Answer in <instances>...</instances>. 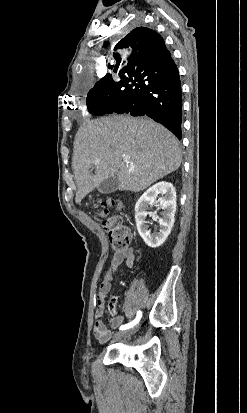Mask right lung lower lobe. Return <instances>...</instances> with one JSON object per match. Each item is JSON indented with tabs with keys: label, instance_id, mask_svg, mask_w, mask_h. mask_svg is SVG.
Masks as SVG:
<instances>
[{
	"label": "right lung lower lobe",
	"instance_id": "right-lung-lower-lobe-1",
	"mask_svg": "<svg viewBox=\"0 0 247 413\" xmlns=\"http://www.w3.org/2000/svg\"><path fill=\"white\" fill-rule=\"evenodd\" d=\"M123 88L104 108L102 115H147L181 139L182 94L177 66L170 60L152 73L122 78Z\"/></svg>",
	"mask_w": 247,
	"mask_h": 413
}]
</instances>
